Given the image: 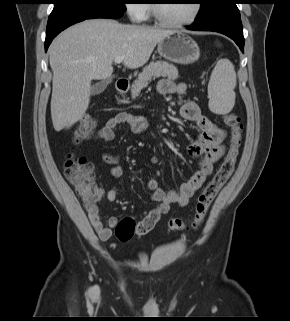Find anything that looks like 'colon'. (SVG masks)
Returning <instances> with one entry per match:
<instances>
[{"label":"colon","mask_w":290,"mask_h":321,"mask_svg":"<svg viewBox=\"0 0 290 321\" xmlns=\"http://www.w3.org/2000/svg\"><path fill=\"white\" fill-rule=\"evenodd\" d=\"M224 121L231 128V140L227 154L212 179L199 194L193 221L190 224H186L181 219L173 218L168 224L169 229L172 231L198 229L203 224L216 196L234 171L241 146L243 126L241 118L236 113L226 114ZM94 129V119L89 115L83 116L74 132V142L85 141L90 137ZM64 175L82 200L85 208H91L96 205L101 198V188L96 183L94 166L86 157L73 153L68 154L64 162ZM135 233H137V225L132 218H124L118 223L116 236L120 241L126 242L130 240Z\"/></svg>","instance_id":"5ec220e1"}]
</instances>
